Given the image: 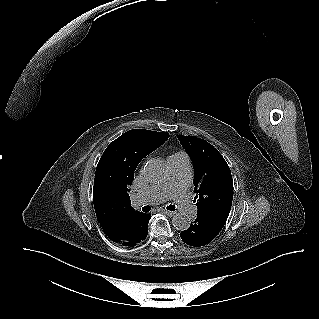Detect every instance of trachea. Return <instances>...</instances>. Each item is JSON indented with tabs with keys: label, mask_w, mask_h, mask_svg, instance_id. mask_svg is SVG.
<instances>
[{
	"label": "trachea",
	"mask_w": 319,
	"mask_h": 319,
	"mask_svg": "<svg viewBox=\"0 0 319 319\" xmlns=\"http://www.w3.org/2000/svg\"><path fill=\"white\" fill-rule=\"evenodd\" d=\"M167 209L170 210V211L176 210V209H175V205H169V206H167ZM142 211H144V212H149V211H150V207H149V206H144V207L142 208Z\"/></svg>",
	"instance_id": "3493384b"
}]
</instances>
